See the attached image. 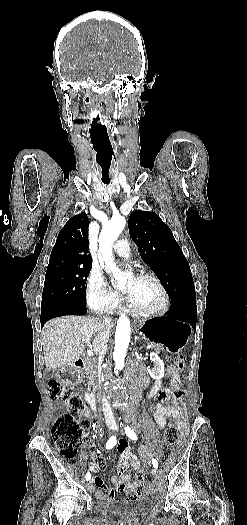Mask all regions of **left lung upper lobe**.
Returning <instances> with one entry per match:
<instances>
[{
    "mask_svg": "<svg viewBox=\"0 0 247 525\" xmlns=\"http://www.w3.org/2000/svg\"><path fill=\"white\" fill-rule=\"evenodd\" d=\"M128 227L142 259L162 282L171 302L196 299L189 263L161 218L154 212L136 210L130 214Z\"/></svg>",
    "mask_w": 247,
    "mask_h": 525,
    "instance_id": "1",
    "label": "left lung upper lobe"
}]
</instances>
